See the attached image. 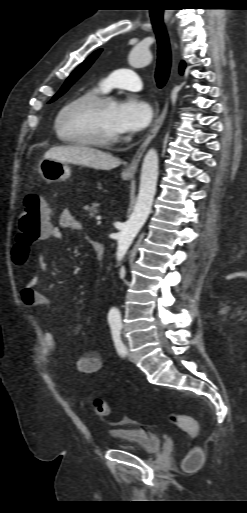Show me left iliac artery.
<instances>
[{
    "label": "left iliac artery",
    "mask_w": 247,
    "mask_h": 513,
    "mask_svg": "<svg viewBox=\"0 0 247 513\" xmlns=\"http://www.w3.org/2000/svg\"><path fill=\"white\" fill-rule=\"evenodd\" d=\"M110 327H111L112 338H113L114 345H115L117 352L121 356H125L126 355V347L121 340V329H122L121 321L118 320V321L111 323Z\"/></svg>",
    "instance_id": "1"
}]
</instances>
